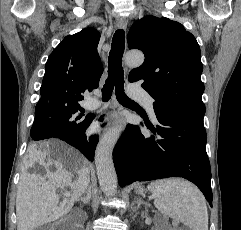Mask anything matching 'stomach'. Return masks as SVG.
Instances as JSON below:
<instances>
[{"mask_svg": "<svg viewBox=\"0 0 241 230\" xmlns=\"http://www.w3.org/2000/svg\"><path fill=\"white\" fill-rule=\"evenodd\" d=\"M136 192H137L138 194L144 195L145 190H144L142 187H138V188L136 189Z\"/></svg>", "mask_w": 241, "mask_h": 230, "instance_id": "1", "label": "stomach"}]
</instances>
